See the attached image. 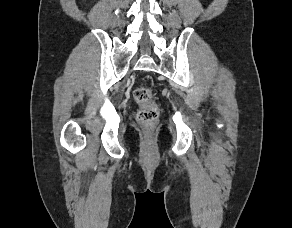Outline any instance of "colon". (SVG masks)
Instances as JSON below:
<instances>
[{"label": "colon", "instance_id": "1", "mask_svg": "<svg viewBox=\"0 0 292 228\" xmlns=\"http://www.w3.org/2000/svg\"><path fill=\"white\" fill-rule=\"evenodd\" d=\"M133 96L140 106L137 113L138 122L147 130L153 129L159 118V110L153 91L149 88L139 87L134 90Z\"/></svg>", "mask_w": 292, "mask_h": 228}]
</instances>
